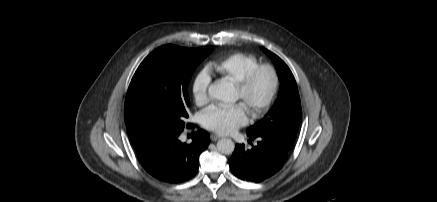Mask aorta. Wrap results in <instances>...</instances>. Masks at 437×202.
I'll return each mask as SVG.
<instances>
[{"label": "aorta", "instance_id": "obj_1", "mask_svg": "<svg viewBox=\"0 0 437 202\" xmlns=\"http://www.w3.org/2000/svg\"><path fill=\"white\" fill-rule=\"evenodd\" d=\"M210 97L225 102L233 103L237 100L235 87L232 83L226 80H216L208 88ZM235 149V144L231 139L222 138L217 142V150L222 154H232Z\"/></svg>", "mask_w": 437, "mask_h": 202}]
</instances>
